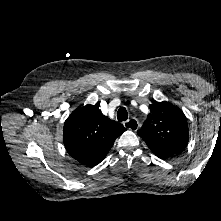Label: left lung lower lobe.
I'll use <instances>...</instances> for the list:
<instances>
[{"label": "left lung lower lobe", "instance_id": "1", "mask_svg": "<svg viewBox=\"0 0 221 221\" xmlns=\"http://www.w3.org/2000/svg\"><path fill=\"white\" fill-rule=\"evenodd\" d=\"M180 152H182V151H179V152H175V153H173V154H156L159 158H161V159H166V158H169V157H171V156H173V155H178Z\"/></svg>", "mask_w": 221, "mask_h": 221}]
</instances>
